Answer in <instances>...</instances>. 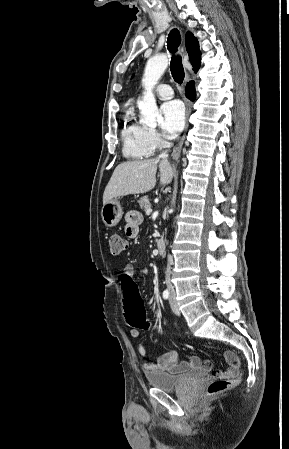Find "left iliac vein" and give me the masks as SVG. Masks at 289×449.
I'll use <instances>...</instances> for the list:
<instances>
[{
	"mask_svg": "<svg viewBox=\"0 0 289 449\" xmlns=\"http://www.w3.org/2000/svg\"><path fill=\"white\" fill-rule=\"evenodd\" d=\"M169 303H170V306H171L172 311H173L176 315H180V311H179V308H178V305H177V303H176L175 296H174L173 293L170 295Z\"/></svg>",
	"mask_w": 289,
	"mask_h": 449,
	"instance_id": "left-iliac-vein-1",
	"label": "left iliac vein"
}]
</instances>
